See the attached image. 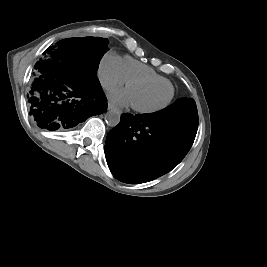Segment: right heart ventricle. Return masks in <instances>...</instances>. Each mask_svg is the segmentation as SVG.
<instances>
[{"label":"right heart ventricle","mask_w":267,"mask_h":267,"mask_svg":"<svg viewBox=\"0 0 267 267\" xmlns=\"http://www.w3.org/2000/svg\"><path fill=\"white\" fill-rule=\"evenodd\" d=\"M121 66L126 80L133 77H150L165 84H170L167 78L158 74L153 68L140 63L131 57L125 56L122 58Z\"/></svg>","instance_id":"e07e8e85"}]
</instances>
